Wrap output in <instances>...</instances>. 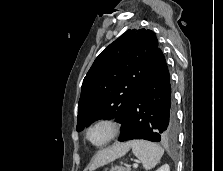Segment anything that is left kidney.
<instances>
[{
  "label": "left kidney",
  "instance_id": "1",
  "mask_svg": "<svg viewBox=\"0 0 223 171\" xmlns=\"http://www.w3.org/2000/svg\"><path fill=\"white\" fill-rule=\"evenodd\" d=\"M156 171H170V167L168 164H165L161 166L159 169H157Z\"/></svg>",
  "mask_w": 223,
  "mask_h": 171
}]
</instances>
